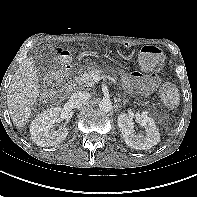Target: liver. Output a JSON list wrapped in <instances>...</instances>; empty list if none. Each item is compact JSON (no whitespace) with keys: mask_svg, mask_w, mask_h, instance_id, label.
<instances>
[{"mask_svg":"<svg viewBox=\"0 0 197 197\" xmlns=\"http://www.w3.org/2000/svg\"><path fill=\"white\" fill-rule=\"evenodd\" d=\"M39 88L38 71L30 56L20 65L8 88V111L15 126L21 128L28 122Z\"/></svg>","mask_w":197,"mask_h":197,"instance_id":"obj_1","label":"liver"}]
</instances>
